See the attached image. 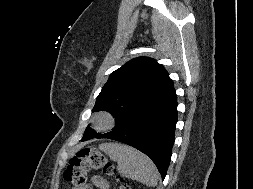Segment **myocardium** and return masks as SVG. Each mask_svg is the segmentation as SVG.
Returning <instances> with one entry per match:
<instances>
[{
    "label": "myocardium",
    "instance_id": "f54148a6",
    "mask_svg": "<svg viewBox=\"0 0 253 189\" xmlns=\"http://www.w3.org/2000/svg\"><path fill=\"white\" fill-rule=\"evenodd\" d=\"M94 124L99 130H108L114 124V117L107 112H102L96 117Z\"/></svg>",
    "mask_w": 253,
    "mask_h": 189
}]
</instances>
